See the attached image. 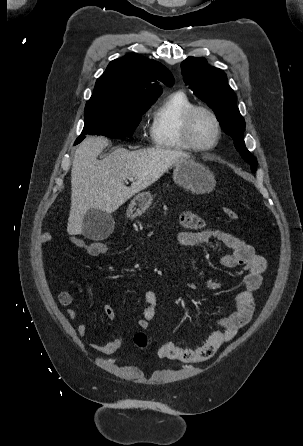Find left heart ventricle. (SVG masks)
I'll return each instance as SVG.
<instances>
[{
  "label": "left heart ventricle",
  "instance_id": "1",
  "mask_svg": "<svg viewBox=\"0 0 303 446\" xmlns=\"http://www.w3.org/2000/svg\"><path fill=\"white\" fill-rule=\"evenodd\" d=\"M191 134L196 144L211 145L216 137V128L210 116L204 112H198L192 121Z\"/></svg>",
  "mask_w": 303,
  "mask_h": 446
}]
</instances>
